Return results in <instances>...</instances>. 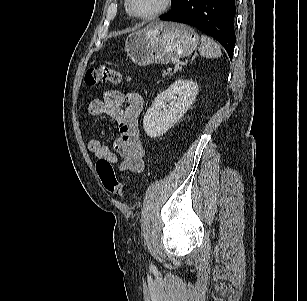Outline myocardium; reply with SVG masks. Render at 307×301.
I'll list each match as a JSON object with an SVG mask.
<instances>
[{
	"instance_id": "f54148a6",
	"label": "myocardium",
	"mask_w": 307,
	"mask_h": 301,
	"mask_svg": "<svg viewBox=\"0 0 307 301\" xmlns=\"http://www.w3.org/2000/svg\"><path fill=\"white\" fill-rule=\"evenodd\" d=\"M171 3H172V0H163V4L158 10H156V11L150 13V14L143 15V14L137 13L134 10V8L132 6V0H126V9H127L128 13L134 18H137V19H140V20H152V19H155V18L163 15L166 11H168V9L171 6Z\"/></svg>"
}]
</instances>
